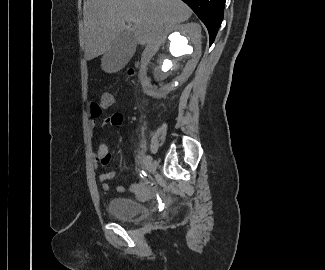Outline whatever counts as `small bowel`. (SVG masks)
<instances>
[{
	"label": "small bowel",
	"mask_w": 325,
	"mask_h": 270,
	"mask_svg": "<svg viewBox=\"0 0 325 270\" xmlns=\"http://www.w3.org/2000/svg\"><path fill=\"white\" fill-rule=\"evenodd\" d=\"M102 96H113L110 93H104ZM114 103H99V101H93L89 105V113L91 116L90 129L93 132L97 127L96 118L102 115L104 109L113 106ZM123 114L121 112H114L111 115L103 119L102 125L104 127H118L122 124ZM94 161L96 165L108 166L112 161V156L109 153L108 147L104 142L99 143L96 154L94 155ZM115 177L113 171L105 172L99 175V181L101 182V187L104 191H108L110 186L108 181ZM118 193H123L125 191L124 186L118 185L116 187ZM130 192L134 194L138 199L146 201L152 196L151 191L146 187L141 181L134 182L130 186Z\"/></svg>",
	"instance_id": "1"
}]
</instances>
